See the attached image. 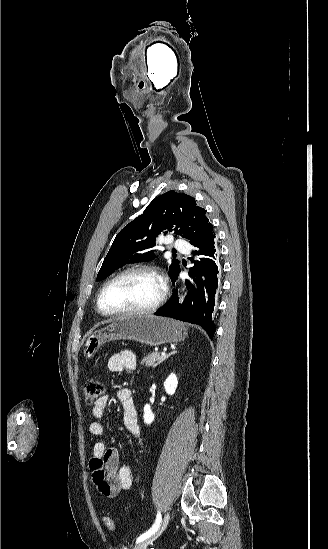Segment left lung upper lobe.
I'll return each mask as SVG.
<instances>
[{
	"instance_id": "left-lung-upper-lobe-1",
	"label": "left lung upper lobe",
	"mask_w": 328,
	"mask_h": 549,
	"mask_svg": "<svg viewBox=\"0 0 328 549\" xmlns=\"http://www.w3.org/2000/svg\"><path fill=\"white\" fill-rule=\"evenodd\" d=\"M164 230L186 238L195 247L214 236L213 225L206 217V210L197 206L193 197L169 191L156 197L143 214L116 235L97 280L105 279L125 264L154 259L152 249L156 237ZM179 271L178 260H173L169 265L172 280Z\"/></svg>"
}]
</instances>
